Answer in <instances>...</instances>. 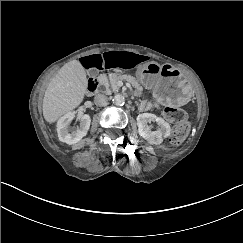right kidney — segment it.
Instances as JSON below:
<instances>
[{
    "instance_id": "ca27d5eb",
    "label": "right kidney",
    "mask_w": 243,
    "mask_h": 243,
    "mask_svg": "<svg viewBox=\"0 0 243 243\" xmlns=\"http://www.w3.org/2000/svg\"><path fill=\"white\" fill-rule=\"evenodd\" d=\"M74 117L75 114L73 112H68L64 116H62L57 122V133L59 140L70 145L77 143L84 136H86L91 122V118L87 114L78 116L77 119L80 122V126L70 132L69 125Z\"/></svg>"
}]
</instances>
